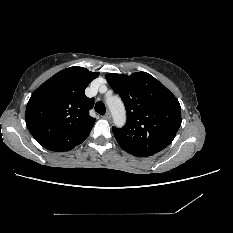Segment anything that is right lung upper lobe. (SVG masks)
I'll use <instances>...</instances> for the list:
<instances>
[{
	"label": "right lung upper lobe",
	"instance_id": "obj_1",
	"mask_svg": "<svg viewBox=\"0 0 233 233\" xmlns=\"http://www.w3.org/2000/svg\"><path fill=\"white\" fill-rule=\"evenodd\" d=\"M98 75L83 67H70L56 73L32 93L25 121L40 145L63 152L88 137L95 123V118L89 115L94 99L86 97L84 90Z\"/></svg>",
	"mask_w": 233,
	"mask_h": 233
}]
</instances>
